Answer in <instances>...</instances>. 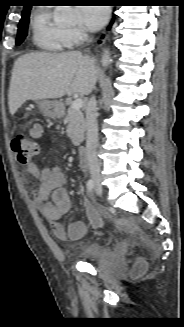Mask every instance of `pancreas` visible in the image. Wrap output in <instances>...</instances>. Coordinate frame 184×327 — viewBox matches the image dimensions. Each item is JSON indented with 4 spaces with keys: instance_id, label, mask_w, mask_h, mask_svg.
<instances>
[{
    "instance_id": "obj_1",
    "label": "pancreas",
    "mask_w": 184,
    "mask_h": 327,
    "mask_svg": "<svg viewBox=\"0 0 184 327\" xmlns=\"http://www.w3.org/2000/svg\"><path fill=\"white\" fill-rule=\"evenodd\" d=\"M67 103H70V101H67ZM64 123L67 124V135L71 139L73 145H80L84 140V132L86 129L83 113L80 110H74L69 107L65 114Z\"/></svg>"
}]
</instances>
